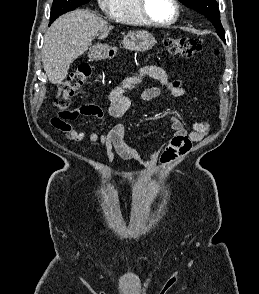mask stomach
<instances>
[{
	"label": "stomach",
	"mask_w": 259,
	"mask_h": 294,
	"mask_svg": "<svg viewBox=\"0 0 259 294\" xmlns=\"http://www.w3.org/2000/svg\"><path fill=\"white\" fill-rule=\"evenodd\" d=\"M156 43L154 36L147 31L130 32L123 37L122 45L130 51L144 52L151 49ZM106 54L105 48L95 46L90 49V56L97 59Z\"/></svg>",
	"instance_id": "obj_1"
}]
</instances>
